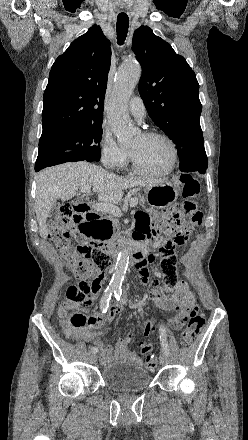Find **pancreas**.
<instances>
[{"mask_svg": "<svg viewBox=\"0 0 248 440\" xmlns=\"http://www.w3.org/2000/svg\"><path fill=\"white\" fill-rule=\"evenodd\" d=\"M136 199L139 200V203L141 205L145 204V198L144 197L138 195V198H136ZM109 219H110V221H112L113 226L117 228L118 227V219L115 218V216L114 217H110Z\"/></svg>", "mask_w": 248, "mask_h": 440, "instance_id": "1", "label": "pancreas"}]
</instances>
